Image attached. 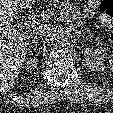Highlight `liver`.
Wrapping results in <instances>:
<instances>
[{
    "label": "liver",
    "instance_id": "1",
    "mask_svg": "<svg viewBox=\"0 0 113 113\" xmlns=\"http://www.w3.org/2000/svg\"><path fill=\"white\" fill-rule=\"evenodd\" d=\"M35 0H0V91L14 88L29 46V31L17 32L12 26L18 8H30Z\"/></svg>",
    "mask_w": 113,
    "mask_h": 113
}]
</instances>
